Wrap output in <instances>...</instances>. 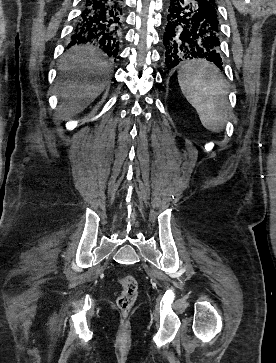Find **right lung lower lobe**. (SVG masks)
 <instances>
[{
    "label": "right lung lower lobe",
    "instance_id": "right-lung-lower-lobe-1",
    "mask_svg": "<svg viewBox=\"0 0 276 363\" xmlns=\"http://www.w3.org/2000/svg\"><path fill=\"white\" fill-rule=\"evenodd\" d=\"M69 47L92 43L116 58L124 31L123 0H83Z\"/></svg>",
    "mask_w": 276,
    "mask_h": 363
}]
</instances>
